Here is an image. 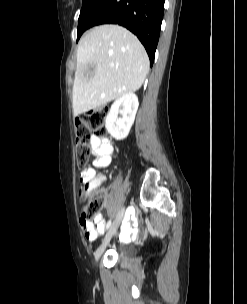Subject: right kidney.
I'll return each instance as SVG.
<instances>
[{
	"label": "right kidney",
	"instance_id": "1",
	"mask_svg": "<svg viewBox=\"0 0 247 304\" xmlns=\"http://www.w3.org/2000/svg\"><path fill=\"white\" fill-rule=\"evenodd\" d=\"M138 106V97L134 93H126L112 104L106 117L105 127L116 140H123L128 136ZM118 114H121L122 117L118 118Z\"/></svg>",
	"mask_w": 247,
	"mask_h": 304
}]
</instances>
